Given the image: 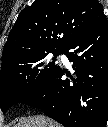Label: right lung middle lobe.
<instances>
[{"mask_svg": "<svg viewBox=\"0 0 108 127\" xmlns=\"http://www.w3.org/2000/svg\"><path fill=\"white\" fill-rule=\"evenodd\" d=\"M62 50H50L16 57L1 66L0 71V107L3 113L16 103L40 88L59 68L56 59L49 60Z\"/></svg>", "mask_w": 108, "mask_h": 127, "instance_id": "obj_1", "label": "right lung middle lobe"}]
</instances>
